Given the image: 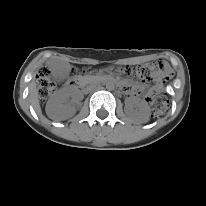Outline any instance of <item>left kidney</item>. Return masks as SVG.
Instances as JSON below:
<instances>
[{
    "label": "left kidney",
    "instance_id": "5707ae66",
    "mask_svg": "<svg viewBox=\"0 0 206 206\" xmlns=\"http://www.w3.org/2000/svg\"><path fill=\"white\" fill-rule=\"evenodd\" d=\"M125 112L143 123L150 119V108L147 102L138 98H129L126 101Z\"/></svg>",
    "mask_w": 206,
    "mask_h": 206
}]
</instances>
